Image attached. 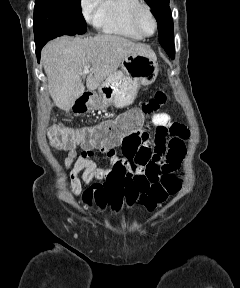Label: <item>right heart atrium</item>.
<instances>
[{
  "mask_svg": "<svg viewBox=\"0 0 240 288\" xmlns=\"http://www.w3.org/2000/svg\"><path fill=\"white\" fill-rule=\"evenodd\" d=\"M103 0H80V9L85 20L96 25Z\"/></svg>",
  "mask_w": 240,
  "mask_h": 288,
  "instance_id": "1",
  "label": "right heart atrium"
}]
</instances>
